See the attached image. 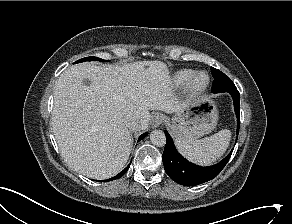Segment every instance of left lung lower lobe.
Returning a JSON list of instances; mask_svg holds the SVG:
<instances>
[{
    "label": "left lung lower lobe",
    "instance_id": "obj_1",
    "mask_svg": "<svg viewBox=\"0 0 292 224\" xmlns=\"http://www.w3.org/2000/svg\"><path fill=\"white\" fill-rule=\"evenodd\" d=\"M222 92L230 93L233 98L234 109L238 119V135L240 123V94L235 85L224 89ZM164 132L167 140L162 155L165 171L172 180L184 186H195L215 178L225 167L233 152L232 150L227 157L215 165L201 167L187 161L184 157H182L176 150L174 142L169 133L166 130Z\"/></svg>",
    "mask_w": 292,
    "mask_h": 224
}]
</instances>
